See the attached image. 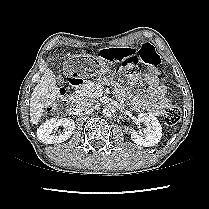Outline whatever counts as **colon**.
<instances>
[{"instance_id":"colon-1","label":"colon","mask_w":209,"mask_h":209,"mask_svg":"<svg viewBox=\"0 0 209 209\" xmlns=\"http://www.w3.org/2000/svg\"><path fill=\"white\" fill-rule=\"evenodd\" d=\"M102 56L108 60H115L126 67L128 64L143 63L151 67H156L160 63V55L155 47L145 42L135 48H106L99 50ZM181 119V111L175 105L168 106L163 113V120L168 126H175Z\"/></svg>"}]
</instances>
